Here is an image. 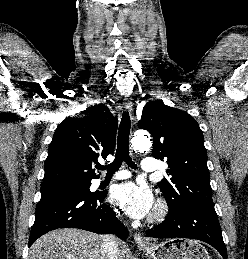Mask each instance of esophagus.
Masks as SVG:
<instances>
[{"label": "esophagus", "instance_id": "34e87169", "mask_svg": "<svg viewBox=\"0 0 248 259\" xmlns=\"http://www.w3.org/2000/svg\"><path fill=\"white\" fill-rule=\"evenodd\" d=\"M132 99L129 96L124 98V107L130 112L131 119L134 120V114L132 112ZM134 240L137 244H147L148 241L139 232L134 233Z\"/></svg>", "mask_w": 248, "mask_h": 259}]
</instances>
